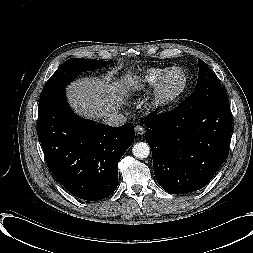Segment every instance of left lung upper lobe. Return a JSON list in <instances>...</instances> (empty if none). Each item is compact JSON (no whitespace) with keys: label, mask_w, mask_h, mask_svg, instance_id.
I'll use <instances>...</instances> for the list:
<instances>
[{"label":"left lung upper lobe","mask_w":253,"mask_h":253,"mask_svg":"<svg viewBox=\"0 0 253 253\" xmlns=\"http://www.w3.org/2000/svg\"><path fill=\"white\" fill-rule=\"evenodd\" d=\"M198 63L199 73L197 85L190 96L195 97L203 103L208 101L217 91H220L223 88L206 63L200 59H198Z\"/></svg>","instance_id":"obj_1"}]
</instances>
